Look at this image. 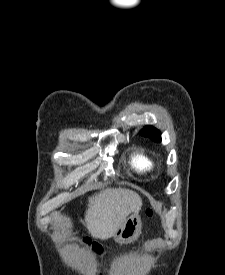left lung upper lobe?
Wrapping results in <instances>:
<instances>
[{
	"mask_svg": "<svg viewBox=\"0 0 225 275\" xmlns=\"http://www.w3.org/2000/svg\"><path fill=\"white\" fill-rule=\"evenodd\" d=\"M140 134L142 136H146L149 137L150 139H152L155 142H161V133L158 129L152 127V126H146L144 127Z\"/></svg>",
	"mask_w": 225,
	"mask_h": 275,
	"instance_id": "left-lung-upper-lobe-1",
	"label": "left lung upper lobe"
}]
</instances>
